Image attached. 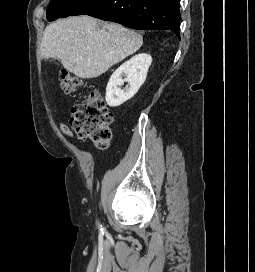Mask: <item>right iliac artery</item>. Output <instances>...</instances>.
<instances>
[{"label": "right iliac artery", "mask_w": 255, "mask_h": 272, "mask_svg": "<svg viewBox=\"0 0 255 272\" xmlns=\"http://www.w3.org/2000/svg\"><path fill=\"white\" fill-rule=\"evenodd\" d=\"M99 229L100 231H103L102 225H99Z\"/></svg>", "instance_id": "82829eb1"}]
</instances>
